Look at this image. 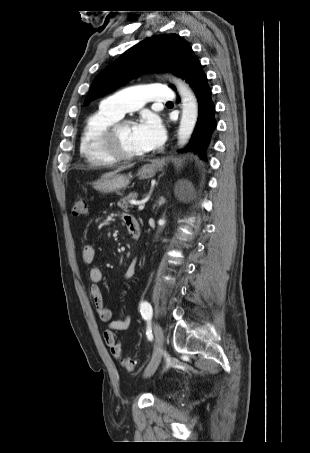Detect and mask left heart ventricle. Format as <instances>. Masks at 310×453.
Returning a JSON list of instances; mask_svg holds the SVG:
<instances>
[{"label": "left heart ventricle", "mask_w": 310, "mask_h": 453, "mask_svg": "<svg viewBox=\"0 0 310 453\" xmlns=\"http://www.w3.org/2000/svg\"><path fill=\"white\" fill-rule=\"evenodd\" d=\"M120 145L128 154H142L146 151L142 148L134 135V125H125L119 132Z\"/></svg>", "instance_id": "obj_1"}]
</instances>
